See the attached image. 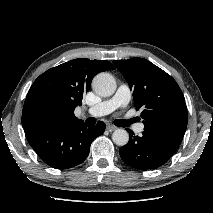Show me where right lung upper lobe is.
I'll return each mask as SVG.
<instances>
[{"instance_id": "obj_1", "label": "right lung upper lobe", "mask_w": 213, "mask_h": 213, "mask_svg": "<svg viewBox=\"0 0 213 213\" xmlns=\"http://www.w3.org/2000/svg\"><path fill=\"white\" fill-rule=\"evenodd\" d=\"M115 69L107 60L78 58L51 68L32 84L22 112L24 129L67 128L83 122L74 115V109L82 105L93 77L101 71Z\"/></svg>"}]
</instances>
